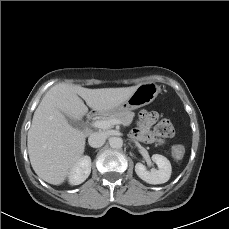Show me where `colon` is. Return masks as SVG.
Returning <instances> with one entry per match:
<instances>
[{"mask_svg":"<svg viewBox=\"0 0 229 229\" xmlns=\"http://www.w3.org/2000/svg\"><path fill=\"white\" fill-rule=\"evenodd\" d=\"M174 134V128L171 121L167 118L162 119L154 128L153 138L158 142H164L166 139L172 137ZM184 150L181 147L173 150V156L176 159H180L183 156Z\"/></svg>","mask_w":229,"mask_h":229,"instance_id":"5ec220e1","label":"colon"}]
</instances>
